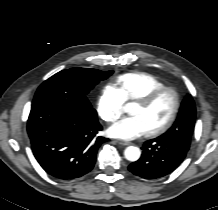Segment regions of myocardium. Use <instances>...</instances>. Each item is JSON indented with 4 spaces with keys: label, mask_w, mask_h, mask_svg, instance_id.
I'll use <instances>...</instances> for the list:
<instances>
[{
    "label": "myocardium",
    "mask_w": 218,
    "mask_h": 210,
    "mask_svg": "<svg viewBox=\"0 0 218 210\" xmlns=\"http://www.w3.org/2000/svg\"><path fill=\"white\" fill-rule=\"evenodd\" d=\"M166 93H170L173 97L172 111H171L168 119L161 126L155 128V129H152L147 133L149 136L160 135V134L166 132L174 124V122L178 116L179 110H180V105H181L180 95L177 92V90L174 89L173 87L163 86L161 88H158V89L146 94L145 96H143L142 98H140L139 100L136 101V104H139V105L144 106V107H149L158 98H160L162 95H164Z\"/></svg>",
    "instance_id": "obj_1"
}]
</instances>
